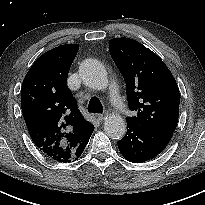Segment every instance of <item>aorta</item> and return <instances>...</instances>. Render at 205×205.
Here are the masks:
<instances>
[{
  "instance_id": "aorta-1",
  "label": "aorta",
  "mask_w": 205,
  "mask_h": 205,
  "mask_svg": "<svg viewBox=\"0 0 205 205\" xmlns=\"http://www.w3.org/2000/svg\"><path fill=\"white\" fill-rule=\"evenodd\" d=\"M79 75L90 88L101 90L108 84L105 68L95 59L84 60L79 67ZM104 131L113 139H121L126 133L124 119L117 114H111L105 119Z\"/></svg>"
}]
</instances>
